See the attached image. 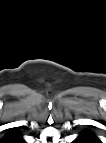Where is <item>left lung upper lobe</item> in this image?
<instances>
[{
	"mask_svg": "<svg viewBox=\"0 0 106 143\" xmlns=\"http://www.w3.org/2000/svg\"><path fill=\"white\" fill-rule=\"evenodd\" d=\"M81 135L86 138L89 143H97L99 141L96 135L89 130H85Z\"/></svg>",
	"mask_w": 106,
	"mask_h": 143,
	"instance_id": "5c2ea615",
	"label": "left lung upper lobe"
}]
</instances>
